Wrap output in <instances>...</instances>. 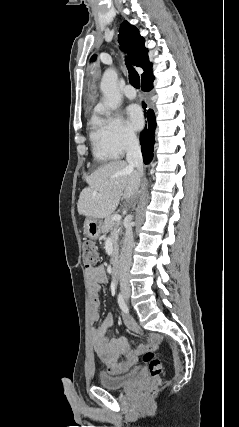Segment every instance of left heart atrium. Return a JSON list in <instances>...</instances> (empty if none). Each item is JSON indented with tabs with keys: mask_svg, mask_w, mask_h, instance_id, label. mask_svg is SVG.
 I'll return each mask as SVG.
<instances>
[{
	"mask_svg": "<svg viewBox=\"0 0 239 427\" xmlns=\"http://www.w3.org/2000/svg\"><path fill=\"white\" fill-rule=\"evenodd\" d=\"M126 112L129 127L135 131L141 129L144 123L141 108L136 104H132L128 106Z\"/></svg>",
	"mask_w": 239,
	"mask_h": 427,
	"instance_id": "39dd6f15",
	"label": "left heart atrium"
}]
</instances>
